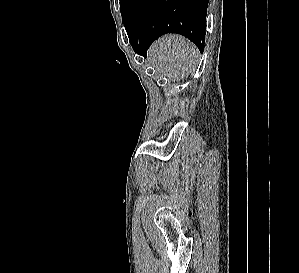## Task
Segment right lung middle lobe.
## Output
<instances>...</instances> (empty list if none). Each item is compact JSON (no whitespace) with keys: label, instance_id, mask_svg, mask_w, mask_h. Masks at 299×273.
Segmentation results:
<instances>
[{"label":"right lung middle lobe","instance_id":"right-lung-middle-lobe-1","mask_svg":"<svg viewBox=\"0 0 299 273\" xmlns=\"http://www.w3.org/2000/svg\"><path fill=\"white\" fill-rule=\"evenodd\" d=\"M133 1L134 0H120V11H121L122 20L124 24L129 16Z\"/></svg>","mask_w":299,"mask_h":273}]
</instances>
